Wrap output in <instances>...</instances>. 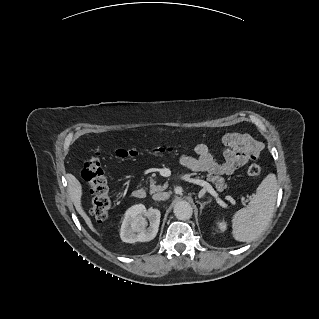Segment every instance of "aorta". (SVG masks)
Wrapping results in <instances>:
<instances>
[{"label": "aorta", "mask_w": 319, "mask_h": 319, "mask_svg": "<svg viewBox=\"0 0 319 319\" xmlns=\"http://www.w3.org/2000/svg\"><path fill=\"white\" fill-rule=\"evenodd\" d=\"M174 215L179 220H188L191 218L193 208L187 201H179L174 206Z\"/></svg>", "instance_id": "1"}]
</instances>
